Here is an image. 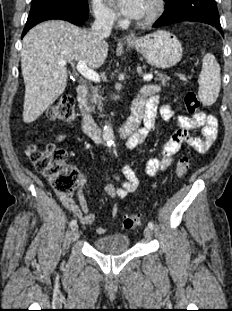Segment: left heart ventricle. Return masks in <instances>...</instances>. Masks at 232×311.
<instances>
[{
    "instance_id": "obj_1",
    "label": "left heart ventricle",
    "mask_w": 232,
    "mask_h": 311,
    "mask_svg": "<svg viewBox=\"0 0 232 311\" xmlns=\"http://www.w3.org/2000/svg\"><path fill=\"white\" fill-rule=\"evenodd\" d=\"M148 10H149V6H148V3H147V6H146V9H145V12H144V14L142 15V17H141V18H143V17L147 14Z\"/></svg>"
}]
</instances>
